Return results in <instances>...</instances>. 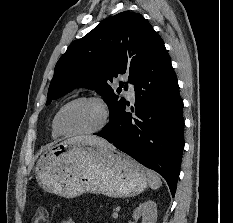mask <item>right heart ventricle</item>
Segmentation results:
<instances>
[{
	"label": "right heart ventricle",
	"instance_id": "1",
	"mask_svg": "<svg viewBox=\"0 0 233 223\" xmlns=\"http://www.w3.org/2000/svg\"><path fill=\"white\" fill-rule=\"evenodd\" d=\"M51 136L54 138V139H57L60 137V135L55 131L53 125H52V128H51Z\"/></svg>",
	"mask_w": 233,
	"mask_h": 223
}]
</instances>
